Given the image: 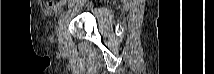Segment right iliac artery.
Segmentation results:
<instances>
[{
  "label": "right iliac artery",
  "mask_w": 214,
  "mask_h": 74,
  "mask_svg": "<svg viewBox=\"0 0 214 74\" xmlns=\"http://www.w3.org/2000/svg\"><path fill=\"white\" fill-rule=\"evenodd\" d=\"M65 18V13L61 14L58 20L59 25L61 24V22L64 20Z\"/></svg>",
  "instance_id": "obj_1"
}]
</instances>
